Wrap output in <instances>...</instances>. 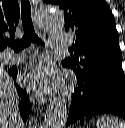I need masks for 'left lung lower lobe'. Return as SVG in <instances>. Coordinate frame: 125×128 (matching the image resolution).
I'll list each match as a JSON object with an SVG mask.
<instances>
[{
  "label": "left lung lower lobe",
  "mask_w": 125,
  "mask_h": 128,
  "mask_svg": "<svg viewBox=\"0 0 125 128\" xmlns=\"http://www.w3.org/2000/svg\"><path fill=\"white\" fill-rule=\"evenodd\" d=\"M62 65L67 67L63 62ZM74 72L78 85L72 95L67 126L99 114L110 113L125 119L124 72L106 73L92 81L85 80L78 71Z\"/></svg>",
  "instance_id": "0a47b994"
}]
</instances>
